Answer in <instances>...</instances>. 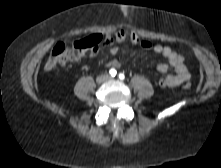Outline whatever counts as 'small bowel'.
Segmentation results:
<instances>
[{
    "label": "small bowel",
    "mask_w": 221,
    "mask_h": 168,
    "mask_svg": "<svg viewBox=\"0 0 221 168\" xmlns=\"http://www.w3.org/2000/svg\"><path fill=\"white\" fill-rule=\"evenodd\" d=\"M120 43L111 45V55L115 56L118 54L119 46L117 44ZM139 45L142 49L153 51L156 54L162 55L166 59V63L163 62L157 65V70L165 76L164 79L159 81L163 87H176L186 82L190 78V73L185 65L183 56L172 50L170 47L162 46L160 44H153L148 40H141ZM97 52V48L93 49L90 51L89 56L94 57ZM106 66L111 68H119L120 62L116 59H112L106 63ZM171 69L175 72L174 74L169 73Z\"/></svg>",
    "instance_id": "small-bowel-1"
}]
</instances>
